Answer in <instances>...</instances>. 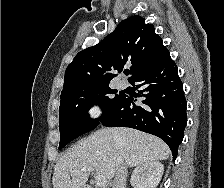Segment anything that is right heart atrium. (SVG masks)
Returning <instances> with one entry per match:
<instances>
[{
    "instance_id": "obj_1",
    "label": "right heart atrium",
    "mask_w": 224,
    "mask_h": 188,
    "mask_svg": "<svg viewBox=\"0 0 224 188\" xmlns=\"http://www.w3.org/2000/svg\"><path fill=\"white\" fill-rule=\"evenodd\" d=\"M103 114L102 106L97 102H91L85 109V115L89 120H97Z\"/></svg>"
}]
</instances>
